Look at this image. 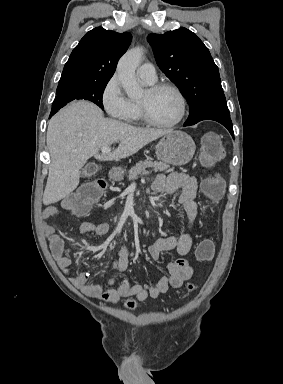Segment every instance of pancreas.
Segmentation results:
<instances>
[{
	"mask_svg": "<svg viewBox=\"0 0 283 384\" xmlns=\"http://www.w3.org/2000/svg\"><path fill=\"white\" fill-rule=\"evenodd\" d=\"M146 168H153V172H164L168 170L170 166L164 164V162H151V160H145V162H138L136 166H133L129 172L128 180H137L140 174L146 172Z\"/></svg>",
	"mask_w": 283,
	"mask_h": 384,
	"instance_id": "1",
	"label": "pancreas"
}]
</instances>
